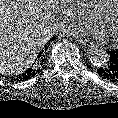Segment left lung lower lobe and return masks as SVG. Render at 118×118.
<instances>
[{
	"label": "left lung lower lobe",
	"instance_id": "obj_1",
	"mask_svg": "<svg viewBox=\"0 0 118 118\" xmlns=\"http://www.w3.org/2000/svg\"><path fill=\"white\" fill-rule=\"evenodd\" d=\"M107 61L97 69V73L104 80L118 83V49L107 51Z\"/></svg>",
	"mask_w": 118,
	"mask_h": 118
}]
</instances>
